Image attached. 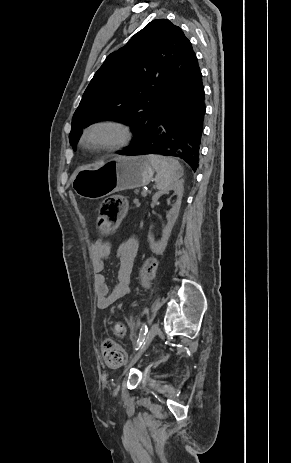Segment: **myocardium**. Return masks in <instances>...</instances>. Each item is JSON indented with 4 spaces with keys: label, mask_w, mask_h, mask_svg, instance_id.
I'll use <instances>...</instances> for the list:
<instances>
[{
    "label": "myocardium",
    "mask_w": 291,
    "mask_h": 463,
    "mask_svg": "<svg viewBox=\"0 0 291 463\" xmlns=\"http://www.w3.org/2000/svg\"><path fill=\"white\" fill-rule=\"evenodd\" d=\"M100 131H108V137L97 138ZM132 140L130 126L116 119L97 120L83 128L80 144L93 151H116L125 148Z\"/></svg>",
    "instance_id": "obj_1"
}]
</instances>
